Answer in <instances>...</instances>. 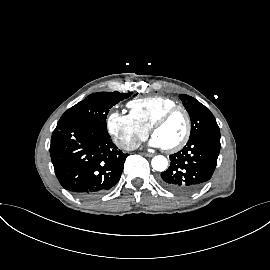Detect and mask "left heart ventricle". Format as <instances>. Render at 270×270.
I'll return each mask as SVG.
<instances>
[{
	"label": "left heart ventricle",
	"mask_w": 270,
	"mask_h": 270,
	"mask_svg": "<svg viewBox=\"0 0 270 270\" xmlns=\"http://www.w3.org/2000/svg\"><path fill=\"white\" fill-rule=\"evenodd\" d=\"M186 130V117L183 112L178 111L169 120L158 128L154 137L162 144L163 148L171 147L178 143Z\"/></svg>",
	"instance_id": "1"
}]
</instances>
